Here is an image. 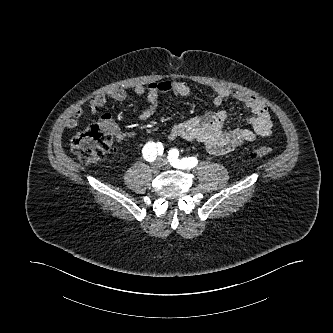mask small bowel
I'll list each match as a JSON object with an SVG mask.
<instances>
[{"mask_svg":"<svg viewBox=\"0 0 333 333\" xmlns=\"http://www.w3.org/2000/svg\"><path fill=\"white\" fill-rule=\"evenodd\" d=\"M137 96H145L147 107L139 115L141 121L150 119L156 112L158 97L161 93H172L179 97L190 94L189 86L180 80L164 79L150 82L147 86L137 85L134 87ZM123 102L127 99V92L123 89H113L106 94H99L86 104L91 112L103 108L108 99ZM227 98H233L244 104L252 113L248 119L251 128H236L225 130L223 128L226 113L220 106ZM213 109L201 116L193 117L177 123L170 135L169 140L182 138L187 141L201 143L205 149L213 155H224L244 143L252 142L258 137H268L272 133L273 123L266 106L257 98L240 91H231L224 86L214 87ZM83 111L77 108L72 116L65 122L67 128H75ZM98 124L107 128L118 142L135 139L136 133L122 132L109 114H104L98 119Z\"/></svg>","mask_w":333,"mask_h":333,"instance_id":"small-bowel-1","label":"small bowel"}]
</instances>
